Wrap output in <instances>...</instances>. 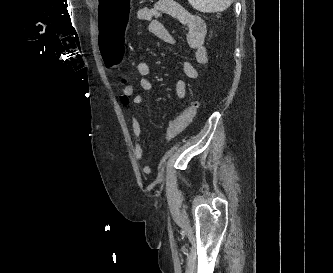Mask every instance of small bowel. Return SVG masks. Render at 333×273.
I'll return each mask as SVG.
<instances>
[{
    "instance_id": "1",
    "label": "small bowel",
    "mask_w": 333,
    "mask_h": 273,
    "mask_svg": "<svg viewBox=\"0 0 333 273\" xmlns=\"http://www.w3.org/2000/svg\"><path fill=\"white\" fill-rule=\"evenodd\" d=\"M164 16H170L184 26L186 32L187 45L195 50V59L199 65L207 63V53L204 46L206 34V26L203 19L187 10L174 0H158L152 7H142L138 12L139 19L147 22L146 31L159 38L169 45H177L176 37L164 26L161 19ZM183 73L192 80L199 76V70L188 61L180 62ZM137 74L140 76L139 85L145 92L154 90V85L149 79L151 72L150 65L145 61H139L136 65ZM175 95L179 99L186 97V84L179 79L174 85ZM130 105H125L130 108V120L134 136V157L140 161L143 157V149L141 145L142 128L137 114L133 108L142 103L141 95H132L130 97ZM170 124V123H169ZM149 166H144L143 171L149 172Z\"/></svg>"
}]
</instances>
